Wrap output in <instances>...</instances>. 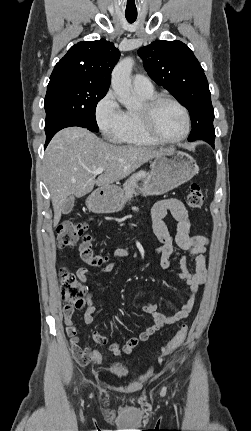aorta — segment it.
<instances>
[{
  "mask_svg": "<svg viewBox=\"0 0 251 431\" xmlns=\"http://www.w3.org/2000/svg\"><path fill=\"white\" fill-rule=\"evenodd\" d=\"M134 61L126 57L118 62L112 71L111 86L118 97V101L127 109H135L139 102L131 94V71Z\"/></svg>",
  "mask_w": 251,
  "mask_h": 431,
  "instance_id": "1",
  "label": "aorta"
}]
</instances>
